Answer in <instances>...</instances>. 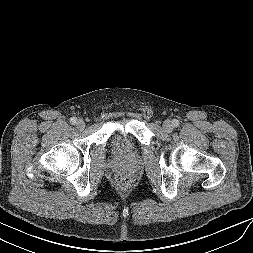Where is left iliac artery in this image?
Instances as JSON below:
<instances>
[{
    "instance_id": "44dca946",
    "label": "left iliac artery",
    "mask_w": 253,
    "mask_h": 253,
    "mask_svg": "<svg viewBox=\"0 0 253 253\" xmlns=\"http://www.w3.org/2000/svg\"><path fill=\"white\" fill-rule=\"evenodd\" d=\"M172 124H173L174 127H178V126H179V121L176 120V119H174V120L172 121Z\"/></svg>"
}]
</instances>
